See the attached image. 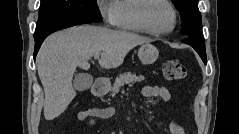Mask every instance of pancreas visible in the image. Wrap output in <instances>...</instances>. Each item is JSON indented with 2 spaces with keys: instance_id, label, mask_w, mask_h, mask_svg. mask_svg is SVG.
<instances>
[{
  "instance_id": "cf45deb5",
  "label": "pancreas",
  "mask_w": 239,
  "mask_h": 134,
  "mask_svg": "<svg viewBox=\"0 0 239 134\" xmlns=\"http://www.w3.org/2000/svg\"><path fill=\"white\" fill-rule=\"evenodd\" d=\"M144 80L143 76H137L136 74H133L131 72H127L124 74H120L119 77L115 79V82L113 84V87L111 89L112 95L115 93H118L120 88L124 86L125 84H131L134 82H141Z\"/></svg>"
}]
</instances>
